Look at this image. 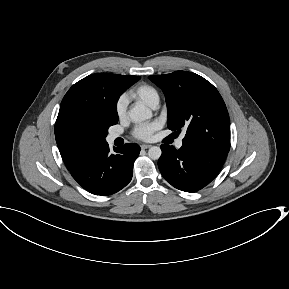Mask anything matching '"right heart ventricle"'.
Here are the masks:
<instances>
[{
	"label": "right heart ventricle",
	"mask_w": 289,
	"mask_h": 289,
	"mask_svg": "<svg viewBox=\"0 0 289 289\" xmlns=\"http://www.w3.org/2000/svg\"><path fill=\"white\" fill-rule=\"evenodd\" d=\"M129 97L139 100L151 107L159 102V94L157 90L149 84L136 86L129 93Z\"/></svg>",
	"instance_id": "obj_1"
}]
</instances>
